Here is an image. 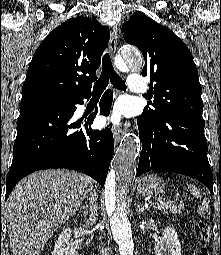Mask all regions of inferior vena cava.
Masks as SVG:
<instances>
[{"instance_id":"obj_1","label":"inferior vena cava","mask_w":221,"mask_h":255,"mask_svg":"<svg viewBox=\"0 0 221 255\" xmlns=\"http://www.w3.org/2000/svg\"><path fill=\"white\" fill-rule=\"evenodd\" d=\"M88 200H90V222L92 221L93 223L96 222V216H97V207H96V201H97V194L96 191L94 190V192H90V196L88 197ZM100 252L101 255H108V250L107 248H105L103 245L100 247Z\"/></svg>"}]
</instances>
